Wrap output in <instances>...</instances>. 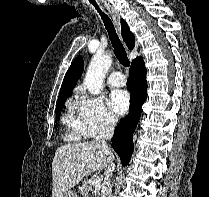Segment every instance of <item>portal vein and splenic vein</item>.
Returning a JSON list of instances; mask_svg holds the SVG:
<instances>
[{"label": "portal vein and splenic vein", "mask_w": 209, "mask_h": 197, "mask_svg": "<svg viewBox=\"0 0 209 197\" xmlns=\"http://www.w3.org/2000/svg\"><path fill=\"white\" fill-rule=\"evenodd\" d=\"M100 184H101V179H100L99 177L93 178V179L91 180V185H92V186H98V185H100Z\"/></svg>", "instance_id": "portal-vein-and-splenic-vein-1"}]
</instances>
